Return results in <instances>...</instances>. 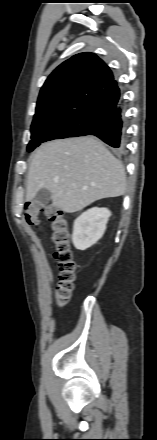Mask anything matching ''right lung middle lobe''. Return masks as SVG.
<instances>
[{"label": "right lung middle lobe", "instance_id": "obj_1", "mask_svg": "<svg viewBox=\"0 0 157 440\" xmlns=\"http://www.w3.org/2000/svg\"><path fill=\"white\" fill-rule=\"evenodd\" d=\"M89 135V130L81 121L58 120V121H37L31 126V141L28 144V151L31 152L42 142L49 140Z\"/></svg>", "mask_w": 157, "mask_h": 440}]
</instances>
